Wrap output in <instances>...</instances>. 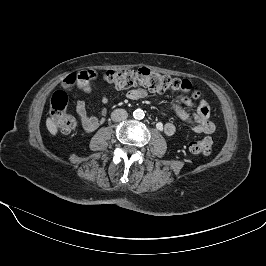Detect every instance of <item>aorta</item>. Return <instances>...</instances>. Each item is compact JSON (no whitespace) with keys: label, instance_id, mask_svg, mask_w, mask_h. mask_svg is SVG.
Masks as SVG:
<instances>
[{"label":"aorta","instance_id":"obj_1","mask_svg":"<svg viewBox=\"0 0 266 266\" xmlns=\"http://www.w3.org/2000/svg\"><path fill=\"white\" fill-rule=\"evenodd\" d=\"M145 114H144V111L141 110V109H136L134 112H133V117L137 120H142L144 118Z\"/></svg>","mask_w":266,"mask_h":266}]
</instances>
